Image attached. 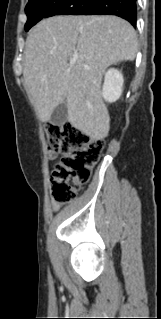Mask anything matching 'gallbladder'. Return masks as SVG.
Here are the masks:
<instances>
[{"label":"gallbladder","mask_w":161,"mask_h":319,"mask_svg":"<svg viewBox=\"0 0 161 319\" xmlns=\"http://www.w3.org/2000/svg\"><path fill=\"white\" fill-rule=\"evenodd\" d=\"M68 108L66 101L58 104L52 112L50 122L53 125H61L67 121Z\"/></svg>","instance_id":"bac80fb5"}]
</instances>
